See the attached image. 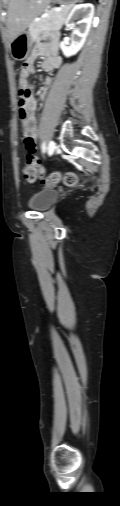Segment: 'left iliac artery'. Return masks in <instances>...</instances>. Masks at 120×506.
<instances>
[{
	"instance_id": "44dca946",
	"label": "left iliac artery",
	"mask_w": 120,
	"mask_h": 506,
	"mask_svg": "<svg viewBox=\"0 0 120 506\" xmlns=\"http://www.w3.org/2000/svg\"><path fill=\"white\" fill-rule=\"evenodd\" d=\"M41 150H42V153L46 152V143H45V141L42 142Z\"/></svg>"
}]
</instances>
